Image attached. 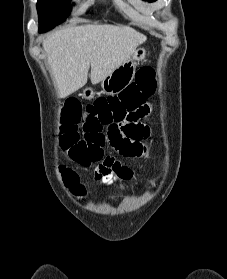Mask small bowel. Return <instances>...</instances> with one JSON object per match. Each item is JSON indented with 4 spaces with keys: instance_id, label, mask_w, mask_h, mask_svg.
<instances>
[{
    "instance_id": "c3829d8e",
    "label": "small bowel",
    "mask_w": 227,
    "mask_h": 279,
    "mask_svg": "<svg viewBox=\"0 0 227 279\" xmlns=\"http://www.w3.org/2000/svg\"><path fill=\"white\" fill-rule=\"evenodd\" d=\"M132 139L125 136L120 130L115 139L111 140L112 146L124 157H129L128 149L132 144ZM63 171H68L64 168ZM134 175L130 167L121 165L115 157L106 156L101 160L94 170V179L104 185H111L117 180H130Z\"/></svg>"
}]
</instances>
